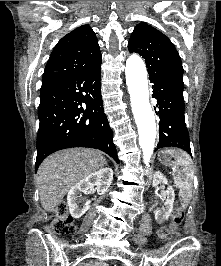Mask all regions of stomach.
Masks as SVG:
<instances>
[{"label": "stomach", "mask_w": 221, "mask_h": 266, "mask_svg": "<svg viewBox=\"0 0 221 266\" xmlns=\"http://www.w3.org/2000/svg\"><path fill=\"white\" fill-rule=\"evenodd\" d=\"M158 158L159 161L168 167H174V168H178L179 164L176 161V159L174 158L173 155H171L170 153L167 152V150H163L158 154Z\"/></svg>", "instance_id": "0dacf381"}]
</instances>
